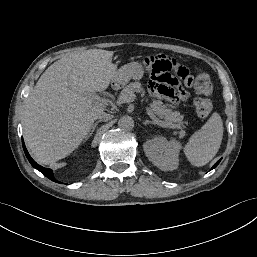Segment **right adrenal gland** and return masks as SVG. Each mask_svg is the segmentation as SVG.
<instances>
[{
    "label": "right adrenal gland",
    "instance_id": "1",
    "mask_svg": "<svg viewBox=\"0 0 257 257\" xmlns=\"http://www.w3.org/2000/svg\"><path fill=\"white\" fill-rule=\"evenodd\" d=\"M99 122H101V120H98L94 124H92L91 129L88 132V134L86 135L84 141H87L89 139V137L93 134V132H94V130H95V128H96V126L98 125Z\"/></svg>",
    "mask_w": 257,
    "mask_h": 257
}]
</instances>
